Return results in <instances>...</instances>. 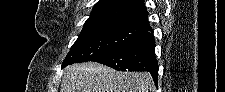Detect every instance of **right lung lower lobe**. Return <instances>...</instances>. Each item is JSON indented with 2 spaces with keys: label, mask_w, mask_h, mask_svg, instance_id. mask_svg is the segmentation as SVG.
Returning a JSON list of instances; mask_svg holds the SVG:
<instances>
[{
  "label": "right lung lower lobe",
  "mask_w": 225,
  "mask_h": 92,
  "mask_svg": "<svg viewBox=\"0 0 225 92\" xmlns=\"http://www.w3.org/2000/svg\"><path fill=\"white\" fill-rule=\"evenodd\" d=\"M153 32L100 54L91 61L104 64L118 71H149L157 84L158 62L155 56Z\"/></svg>",
  "instance_id": "obj_1"
}]
</instances>
